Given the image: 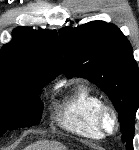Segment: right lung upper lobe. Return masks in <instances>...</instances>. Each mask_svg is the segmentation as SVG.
Instances as JSON below:
<instances>
[{"instance_id":"1","label":"right lung upper lobe","mask_w":139,"mask_h":150,"mask_svg":"<svg viewBox=\"0 0 139 150\" xmlns=\"http://www.w3.org/2000/svg\"><path fill=\"white\" fill-rule=\"evenodd\" d=\"M0 71L32 76L42 82L64 73V61L55 30L18 27L13 40L0 51Z\"/></svg>"}]
</instances>
